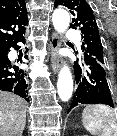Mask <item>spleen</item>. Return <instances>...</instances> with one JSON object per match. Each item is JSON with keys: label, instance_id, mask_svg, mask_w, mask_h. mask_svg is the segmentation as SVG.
<instances>
[{"label": "spleen", "instance_id": "obj_1", "mask_svg": "<svg viewBox=\"0 0 117 136\" xmlns=\"http://www.w3.org/2000/svg\"><path fill=\"white\" fill-rule=\"evenodd\" d=\"M84 127L93 135L117 136V114L102 104L89 105L82 113Z\"/></svg>", "mask_w": 117, "mask_h": 136}]
</instances>
